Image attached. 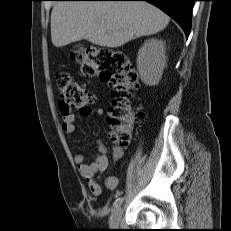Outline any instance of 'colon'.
<instances>
[{
    "label": "colon",
    "mask_w": 231,
    "mask_h": 231,
    "mask_svg": "<svg viewBox=\"0 0 231 231\" xmlns=\"http://www.w3.org/2000/svg\"><path fill=\"white\" fill-rule=\"evenodd\" d=\"M81 74L85 77L99 75L112 90L113 101L109 109L108 124L117 129L113 139L120 146H127L130 133L127 124L142 119L143 113L131 106L132 90L139 86L137 73L127 55L109 47H89L79 57ZM61 94L60 109L69 114L73 109L89 108L94 95L78 84L68 73L57 74Z\"/></svg>",
    "instance_id": "obj_1"
}]
</instances>
